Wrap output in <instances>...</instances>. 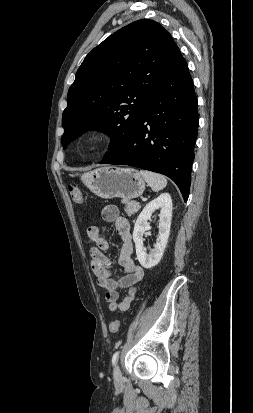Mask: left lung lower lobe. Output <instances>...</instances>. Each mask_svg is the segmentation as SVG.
<instances>
[{"mask_svg":"<svg viewBox=\"0 0 253 413\" xmlns=\"http://www.w3.org/2000/svg\"><path fill=\"white\" fill-rule=\"evenodd\" d=\"M197 129V97L188 65L179 50L170 73L149 100L128 144L100 163L164 174L177 184L186 202Z\"/></svg>","mask_w":253,"mask_h":413,"instance_id":"0a47b994","label":"left lung lower lobe"}]
</instances>
